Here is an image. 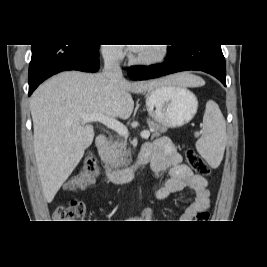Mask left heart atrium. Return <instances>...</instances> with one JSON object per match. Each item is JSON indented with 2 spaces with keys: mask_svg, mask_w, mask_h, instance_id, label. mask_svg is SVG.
<instances>
[{
  "mask_svg": "<svg viewBox=\"0 0 267 267\" xmlns=\"http://www.w3.org/2000/svg\"><path fill=\"white\" fill-rule=\"evenodd\" d=\"M132 50L136 51V50H137V48H136V47H133V48H132Z\"/></svg>",
  "mask_w": 267,
  "mask_h": 267,
  "instance_id": "39dd6f15",
  "label": "left heart atrium"
}]
</instances>
